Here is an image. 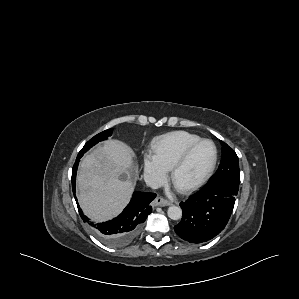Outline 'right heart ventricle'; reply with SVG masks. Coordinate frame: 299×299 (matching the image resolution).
Returning <instances> with one entry per match:
<instances>
[{"mask_svg":"<svg viewBox=\"0 0 299 299\" xmlns=\"http://www.w3.org/2000/svg\"><path fill=\"white\" fill-rule=\"evenodd\" d=\"M200 140L199 136L184 131L167 133L153 140V156L166 171L171 170L183 153Z\"/></svg>","mask_w":299,"mask_h":299,"instance_id":"1","label":"right heart ventricle"}]
</instances>
